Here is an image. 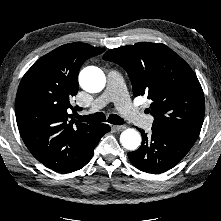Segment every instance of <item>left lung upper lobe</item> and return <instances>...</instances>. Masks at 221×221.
<instances>
[{"label":"left lung upper lobe","mask_w":221,"mask_h":221,"mask_svg":"<svg viewBox=\"0 0 221 221\" xmlns=\"http://www.w3.org/2000/svg\"><path fill=\"white\" fill-rule=\"evenodd\" d=\"M104 60L123 67L134 96L152 100L153 127L195 142L201 131L205 100L190 66L161 43L140 42L107 51Z\"/></svg>","instance_id":"left-lung-upper-lobe-1"}]
</instances>
